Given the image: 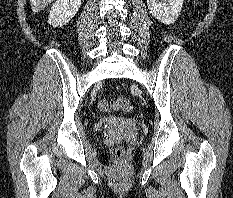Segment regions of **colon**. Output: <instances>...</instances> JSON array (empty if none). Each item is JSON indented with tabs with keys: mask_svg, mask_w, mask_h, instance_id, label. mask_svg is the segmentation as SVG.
<instances>
[{
	"mask_svg": "<svg viewBox=\"0 0 233 198\" xmlns=\"http://www.w3.org/2000/svg\"><path fill=\"white\" fill-rule=\"evenodd\" d=\"M98 107L103 112H109L113 108H116L118 110L129 112L131 110V104L129 101L125 98L118 99L116 102L111 104L110 102L106 100H101L98 103ZM125 155V149L122 146H118L115 150V156L119 161H122Z\"/></svg>",
	"mask_w": 233,
	"mask_h": 198,
	"instance_id": "colon-1",
	"label": "colon"
}]
</instances>
